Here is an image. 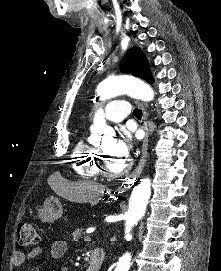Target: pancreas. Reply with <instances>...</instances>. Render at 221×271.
Masks as SVG:
<instances>
[{"label": "pancreas", "instance_id": "cf45deb5", "mask_svg": "<svg viewBox=\"0 0 221 271\" xmlns=\"http://www.w3.org/2000/svg\"><path fill=\"white\" fill-rule=\"evenodd\" d=\"M73 237H70V242H81L82 238L81 235H83V229H75L72 233Z\"/></svg>", "mask_w": 221, "mask_h": 271}]
</instances>
